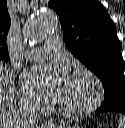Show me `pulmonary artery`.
Wrapping results in <instances>:
<instances>
[{"label": "pulmonary artery", "instance_id": "obj_1", "mask_svg": "<svg viewBox=\"0 0 125 128\" xmlns=\"http://www.w3.org/2000/svg\"><path fill=\"white\" fill-rule=\"evenodd\" d=\"M62 52V45L57 36L48 38L44 47L32 48L26 51L25 58L32 61L44 60L48 57L59 56Z\"/></svg>", "mask_w": 125, "mask_h": 128}]
</instances>
